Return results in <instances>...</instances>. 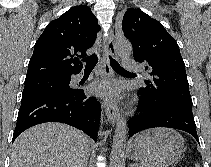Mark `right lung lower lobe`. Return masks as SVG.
<instances>
[{
    "label": "right lung lower lobe",
    "instance_id": "obj_1",
    "mask_svg": "<svg viewBox=\"0 0 211 167\" xmlns=\"http://www.w3.org/2000/svg\"><path fill=\"white\" fill-rule=\"evenodd\" d=\"M100 113V103L83 89L22 95L12 142L24 130L44 122L69 124L96 140Z\"/></svg>",
    "mask_w": 211,
    "mask_h": 167
}]
</instances>
